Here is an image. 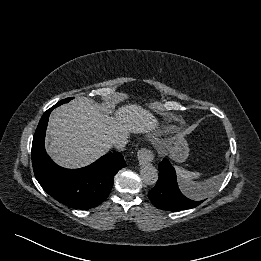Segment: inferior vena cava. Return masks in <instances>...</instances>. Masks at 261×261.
<instances>
[{
	"label": "inferior vena cava",
	"instance_id": "602c4592",
	"mask_svg": "<svg viewBox=\"0 0 261 261\" xmlns=\"http://www.w3.org/2000/svg\"><path fill=\"white\" fill-rule=\"evenodd\" d=\"M128 143L127 137H120L114 140L113 146L120 151L125 150V146Z\"/></svg>",
	"mask_w": 261,
	"mask_h": 261
}]
</instances>
